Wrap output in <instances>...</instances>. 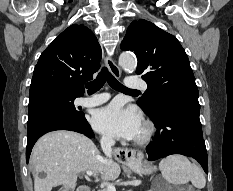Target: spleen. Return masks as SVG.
I'll return each mask as SVG.
<instances>
[{
  "label": "spleen",
  "instance_id": "1",
  "mask_svg": "<svg viewBox=\"0 0 233 191\" xmlns=\"http://www.w3.org/2000/svg\"><path fill=\"white\" fill-rule=\"evenodd\" d=\"M159 169L169 184L177 186L192 182L198 189L205 187L206 181L202 171L185 156L170 155L160 161Z\"/></svg>",
  "mask_w": 233,
  "mask_h": 191
}]
</instances>
